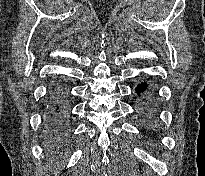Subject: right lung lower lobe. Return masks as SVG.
<instances>
[{
	"mask_svg": "<svg viewBox=\"0 0 205 176\" xmlns=\"http://www.w3.org/2000/svg\"><path fill=\"white\" fill-rule=\"evenodd\" d=\"M62 89L58 90L50 100L48 114L45 121L44 142L50 150H61L66 147V110Z\"/></svg>",
	"mask_w": 205,
	"mask_h": 176,
	"instance_id": "98d812e1",
	"label": "right lung lower lobe"
}]
</instances>
